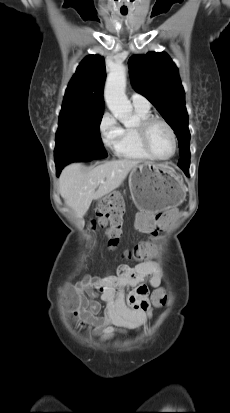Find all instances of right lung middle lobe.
Segmentation results:
<instances>
[{"instance_id": "dd1d6c3e", "label": "right lung middle lobe", "mask_w": 230, "mask_h": 413, "mask_svg": "<svg viewBox=\"0 0 230 413\" xmlns=\"http://www.w3.org/2000/svg\"><path fill=\"white\" fill-rule=\"evenodd\" d=\"M101 119L102 116L59 120L54 152L56 166L107 157L99 132Z\"/></svg>"}]
</instances>
